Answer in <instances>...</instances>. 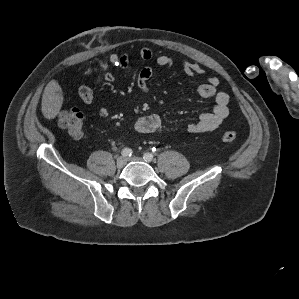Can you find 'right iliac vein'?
Wrapping results in <instances>:
<instances>
[{"instance_id": "63e3f726", "label": "right iliac vein", "mask_w": 299, "mask_h": 299, "mask_svg": "<svg viewBox=\"0 0 299 299\" xmlns=\"http://www.w3.org/2000/svg\"><path fill=\"white\" fill-rule=\"evenodd\" d=\"M127 159L124 156L117 158L116 166L117 168H123L126 165Z\"/></svg>"}]
</instances>
